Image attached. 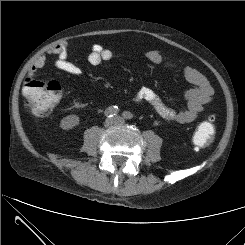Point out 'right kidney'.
<instances>
[{
	"instance_id": "right-kidney-1",
	"label": "right kidney",
	"mask_w": 245,
	"mask_h": 245,
	"mask_svg": "<svg viewBox=\"0 0 245 245\" xmlns=\"http://www.w3.org/2000/svg\"><path fill=\"white\" fill-rule=\"evenodd\" d=\"M79 121L80 120L77 115H68L61 120L60 127L64 130H69L77 126Z\"/></svg>"
}]
</instances>
